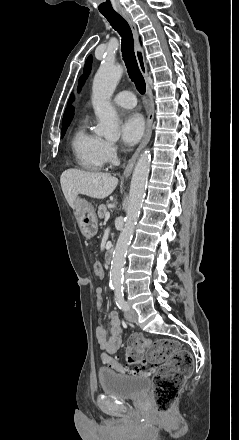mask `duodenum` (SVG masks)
<instances>
[{"label":"duodenum","instance_id":"obj_1","mask_svg":"<svg viewBox=\"0 0 239 440\" xmlns=\"http://www.w3.org/2000/svg\"><path fill=\"white\" fill-rule=\"evenodd\" d=\"M113 254H114L113 248H110L106 251L105 259H106L107 263H111V261L113 259Z\"/></svg>","mask_w":239,"mask_h":440}]
</instances>
